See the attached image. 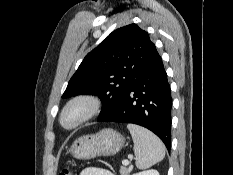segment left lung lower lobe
I'll list each match as a JSON object with an SVG mask.
<instances>
[{
    "mask_svg": "<svg viewBox=\"0 0 233 175\" xmlns=\"http://www.w3.org/2000/svg\"><path fill=\"white\" fill-rule=\"evenodd\" d=\"M172 98L162 58L157 50L139 71L118 106L100 122L143 126L155 133L170 150Z\"/></svg>",
    "mask_w": 233,
    "mask_h": 175,
    "instance_id": "0a47b994",
    "label": "left lung lower lobe"
}]
</instances>
